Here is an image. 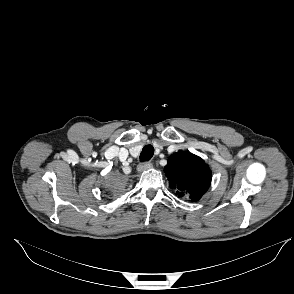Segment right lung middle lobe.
I'll use <instances>...</instances> for the list:
<instances>
[{
	"mask_svg": "<svg viewBox=\"0 0 294 294\" xmlns=\"http://www.w3.org/2000/svg\"><path fill=\"white\" fill-rule=\"evenodd\" d=\"M122 186V182L117 177L111 176L103 184V189L108 193L109 198L113 199L120 194Z\"/></svg>",
	"mask_w": 294,
	"mask_h": 294,
	"instance_id": "right-lung-middle-lobe-1",
	"label": "right lung middle lobe"
}]
</instances>
